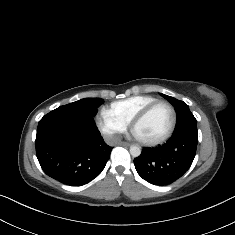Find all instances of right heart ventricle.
<instances>
[{"mask_svg":"<svg viewBox=\"0 0 235 235\" xmlns=\"http://www.w3.org/2000/svg\"><path fill=\"white\" fill-rule=\"evenodd\" d=\"M155 101H158V98L153 95L138 94L113 102L110 111L124 124L129 125L139 112Z\"/></svg>","mask_w":235,"mask_h":235,"instance_id":"right-heart-ventricle-1","label":"right heart ventricle"}]
</instances>
